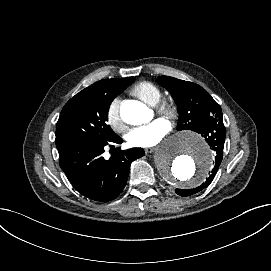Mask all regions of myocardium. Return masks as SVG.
Returning <instances> with one entry per match:
<instances>
[{"label":"myocardium","mask_w":271,"mask_h":271,"mask_svg":"<svg viewBox=\"0 0 271 271\" xmlns=\"http://www.w3.org/2000/svg\"><path fill=\"white\" fill-rule=\"evenodd\" d=\"M156 113L171 124H174L179 117V106L173 100H164L158 104Z\"/></svg>","instance_id":"myocardium-1"}]
</instances>
